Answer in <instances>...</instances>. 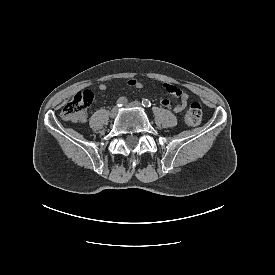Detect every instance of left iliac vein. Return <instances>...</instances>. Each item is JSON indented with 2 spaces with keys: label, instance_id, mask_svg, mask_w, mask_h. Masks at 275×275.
<instances>
[{
  "label": "left iliac vein",
  "instance_id": "1",
  "mask_svg": "<svg viewBox=\"0 0 275 275\" xmlns=\"http://www.w3.org/2000/svg\"><path fill=\"white\" fill-rule=\"evenodd\" d=\"M127 107H140L141 104L138 101L130 102L126 104Z\"/></svg>",
  "mask_w": 275,
  "mask_h": 275
}]
</instances>
